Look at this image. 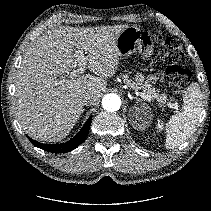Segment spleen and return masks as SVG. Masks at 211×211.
<instances>
[{
	"label": "spleen",
	"mask_w": 211,
	"mask_h": 211,
	"mask_svg": "<svg viewBox=\"0 0 211 211\" xmlns=\"http://www.w3.org/2000/svg\"><path fill=\"white\" fill-rule=\"evenodd\" d=\"M203 95L197 83H192L184 94L181 111L172 115L166 124L167 149L183 144L195 131L202 111Z\"/></svg>",
	"instance_id": "3e777b00"
}]
</instances>
